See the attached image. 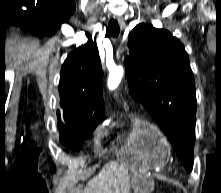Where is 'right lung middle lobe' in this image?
<instances>
[{
	"label": "right lung middle lobe",
	"mask_w": 221,
	"mask_h": 193,
	"mask_svg": "<svg viewBox=\"0 0 221 193\" xmlns=\"http://www.w3.org/2000/svg\"><path fill=\"white\" fill-rule=\"evenodd\" d=\"M102 118L103 116H94L68 123L65 122L64 124L59 120L61 142L72 150L80 149L83 142L81 138L90 134Z\"/></svg>",
	"instance_id": "obj_1"
}]
</instances>
